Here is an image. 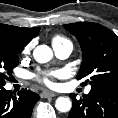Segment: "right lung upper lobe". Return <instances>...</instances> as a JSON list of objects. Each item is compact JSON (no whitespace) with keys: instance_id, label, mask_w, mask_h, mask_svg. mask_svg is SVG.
<instances>
[{"instance_id":"obj_1","label":"right lung upper lobe","mask_w":118,"mask_h":118,"mask_svg":"<svg viewBox=\"0 0 118 118\" xmlns=\"http://www.w3.org/2000/svg\"><path fill=\"white\" fill-rule=\"evenodd\" d=\"M40 27L20 28L11 25L0 24V36L11 38L27 45L32 38L37 36Z\"/></svg>"}]
</instances>
